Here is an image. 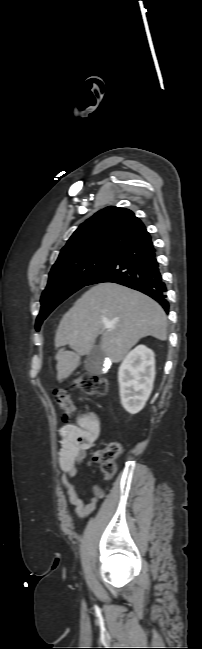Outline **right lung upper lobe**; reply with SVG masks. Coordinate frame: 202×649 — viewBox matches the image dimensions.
Instances as JSON below:
<instances>
[{"label":"right lung upper lobe","instance_id":"1","mask_svg":"<svg viewBox=\"0 0 202 649\" xmlns=\"http://www.w3.org/2000/svg\"><path fill=\"white\" fill-rule=\"evenodd\" d=\"M148 234L131 210L109 206L78 227L62 248L57 261L89 251L118 253Z\"/></svg>","mask_w":202,"mask_h":649}]
</instances>
